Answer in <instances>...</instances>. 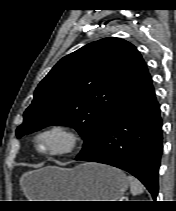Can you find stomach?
<instances>
[{
	"label": "stomach",
	"instance_id": "0dacf381",
	"mask_svg": "<svg viewBox=\"0 0 176 211\" xmlns=\"http://www.w3.org/2000/svg\"><path fill=\"white\" fill-rule=\"evenodd\" d=\"M128 184L121 170L97 163L48 166L22 178L23 191L31 201H117Z\"/></svg>",
	"mask_w": 176,
	"mask_h": 211
}]
</instances>
